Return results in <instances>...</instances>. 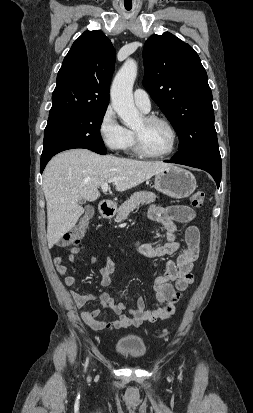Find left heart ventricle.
I'll use <instances>...</instances> for the list:
<instances>
[{
  "instance_id": "b2bd125f",
  "label": "left heart ventricle",
  "mask_w": 253,
  "mask_h": 413,
  "mask_svg": "<svg viewBox=\"0 0 253 413\" xmlns=\"http://www.w3.org/2000/svg\"><path fill=\"white\" fill-rule=\"evenodd\" d=\"M142 139L144 147L152 153H162L169 149L172 135L169 129L160 122L148 123L142 118L134 127Z\"/></svg>"
}]
</instances>
